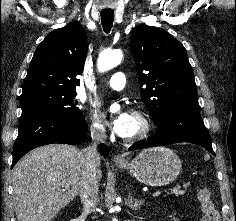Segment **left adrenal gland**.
<instances>
[{"label":"left adrenal gland","instance_id":"a2214340","mask_svg":"<svg viewBox=\"0 0 236 221\" xmlns=\"http://www.w3.org/2000/svg\"><path fill=\"white\" fill-rule=\"evenodd\" d=\"M127 203H128L129 207L132 210L137 211L138 208H140L141 205L144 203V200H142V199L141 200L134 199L133 196H132V193L129 192Z\"/></svg>","mask_w":236,"mask_h":221}]
</instances>
